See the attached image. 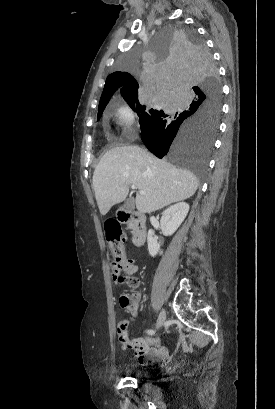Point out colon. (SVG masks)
Wrapping results in <instances>:
<instances>
[{"mask_svg":"<svg viewBox=\"0 0 275 409\" xmlns=\"http://www.w3.org/2000/svg\"><path fill=\"white\" fill-rule=\"evenodd\" d=\"M104 237L109 244L111 252L117 257L116 261L111 262V269L114 270L115 274H122L123 271L126 273L128 270L125 268V265L131 263V258L129 256H123L125 240L123 230L117 220H109L105 223ZM121 283L130 288H136L139 282L134 277H122ZM121 302L122 306L130 313H132V311H139L141 301L137 294L124 295L121 297Z\"/></svg>","mask_w":275,"mask_h":409,"instance_id":"colon-1","label":"colon"}]
</instances>
